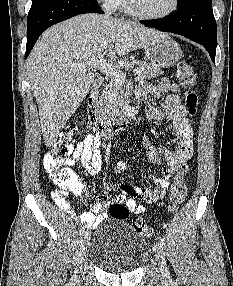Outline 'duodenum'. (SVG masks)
Listing matches in <instances>:
<instances>
[{
	"instance_id": "1",
	"label": "duodenum",
	"mask_w": 233,
	"mask_h": 286,
	"mask_svg": "<svg viewBox=\"0 0 233 286\" xmlns=\"http://www.w3.org/2000/svg\"><path fill=\"white\" fill-rule=\"evenodd\" d=\"M102 86V80L94 85L87 100V115L92 129L101 131L105 136H110L124 130L131 123L133 112L127 108L114 118H105L99 110V93Z\"/></svg>"
}]
</instances>
